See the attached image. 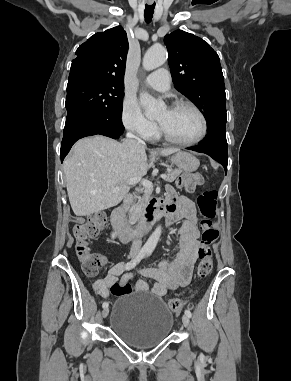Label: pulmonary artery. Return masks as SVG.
I'll use <instances>...</instances> for the list:
<instances>
[{
	"label": "pulmonary artery",
	"mask_w": 291,
	"mask_h": 381,
	"mask_svg": "<svg viewBox=\"0 0 291 381\" xmlns=\"http://www.w3.org/2000/svg\"><path fill=\"white\" fill-rule=\"evenodd\" d=\"M144 83L160 92H167L170 88V75L168 70L158 69L144 79Z\"/></svg>",
	"instance_id": "1"
}]
</instances>
